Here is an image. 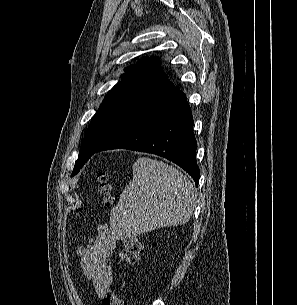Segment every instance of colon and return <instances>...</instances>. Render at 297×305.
I'll list each match as a JSON object with an SVG mask.
<instances>
[{
    "mask_svg": "<svg viewBox=\"0 0 297 305\" xmlns=\"http://www.w3.org/2000/svg\"><path fill=\"white\" fill-rule=\"evenodd\" d=\"M97 181L99 191L108 203L110 201L111 187L108 182L107 174L105 172H100ZM142 252V242L138 238H128L124 241L120 249L119 260L125 264L135 265L140 261ZM101 305H126V302L117 291H111L102 299Z\"/></svg>",
    "mask_w": 297,
    "mask_h": 305,
    "instance_id": "colon-1",
    "label": "colon"
}]
</instances>
